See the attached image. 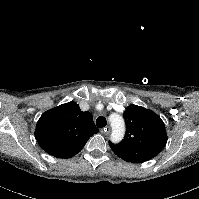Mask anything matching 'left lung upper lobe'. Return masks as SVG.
I'll return each mask as SVG.
<instances>
[{"instance_id":"5c2ea615","label":"left lung upper lobe","mask_w":199,"mask_h":199,"mask_svg":"<svg viewBox=\"0 0 199 199\" xmlns=\"http://www.w3.org/2000/svg\"><path fill=\"white\" fill-rule=\"evenodd\" d=\"M127 126L125 138L109 145L113 152L127 162H145L165 147L167 134L162 119L144 107L129 105L124 111Z\"/></svg>"}]
</instances>
